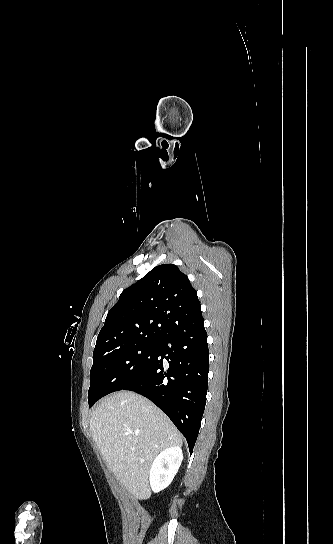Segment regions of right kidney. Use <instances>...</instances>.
Listing matches in <instances>:
<instances>
[{
    "mask_svg": "<svg viewBox=\"0 0 333 544\" xmlns=\"http://www.w3.org/2000/svg\"><path fill=\"white\" fill-rule=\"evenodd\" d=\"M183 460L182 449L178 446L163 450L153 461L150 469V486L154 493L167 488L176 475Z\"/></svg>",
    "mask_w": 333,
    "mask_h": 544,
    "instance_id": "obj_1",
    "label": "right kidney"
}]
</instances>
